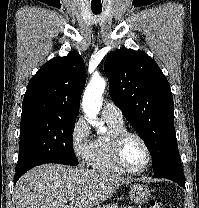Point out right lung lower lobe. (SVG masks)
<instances>
[{
	"mask_svg": "<svg viewBox=\"0 0 199 208\" xmlns=\"http://www.w3.org/2000/svg\"><path fill=\"white\" fill-rule=\"evenodd\" d=\"M25 172H20V173H16L14 176V183L16 184V182L19 180V178L24 174Z\"/></svg>",
	"mask_w": 199,
	"mask_h": 208,
	"instance_id": "obj_1",
	"label": "right lung lower lobe"
}]
</instances>
